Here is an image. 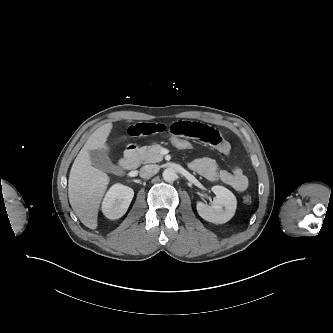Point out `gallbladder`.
<instances>
[{"mask_svg":"<svg viewBox=\"0 0 333 333\" xmlns=\"http://www.w3.org/2000/svg\"><path fill=\"white\" fill-rule=\"evenodd\" d=\"M90 159L92 165L104 172L118 174L122 170L117 165H114L110 158L108 157L107 153L102 149L97 150H90Z\"/></svg>","mask_w":333,"mask_h":333,"instance_id":"gallbladder-1","label":"gallbladder"}]
</instances>
